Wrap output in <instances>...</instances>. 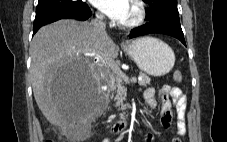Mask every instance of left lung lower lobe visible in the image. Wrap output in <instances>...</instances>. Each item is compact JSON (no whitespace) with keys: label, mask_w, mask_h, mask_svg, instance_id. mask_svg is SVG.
Returning <instances> with one entry per match:
<instances>
[{"label":"left lung lower lobe","mask_w":227,"mask_h":142,"mask_svg":"<svg viewBox=\"0 0 227 142\" xmlns=\"http://www.w3.org/2000/svg\"><path fill=\"white\" fill-rule=\"evenodd\" d=\"M151 33H160L175 37L186 46L179 20L163 16L150 19L147 25L132 29L129 37L131 39Z\"/></svg>","instance_id":"left-lung-lower-lobe-1"}]
</instances>
